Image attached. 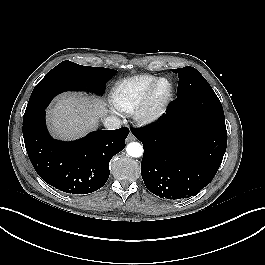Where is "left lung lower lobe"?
Returning <instances> with one entry per match:
<instances>
[{"label": "left lung lower lobe", "instance_id": "left-lung-lower-lobe-1", "mask_svg": "<svg viewBox=\"0 0 265 265\" xmlns=\"http://www.w3.org/2000/svg\"><path fill=\"white\" fill-rule=\"evenodd\" d=\"M131 131L143 143L146 187L167 199L198 194L214 178L227 146L225 119L176 112L173 103L159 123Z\"/></svg>", "mask_w": 265, "mask_h": 265}]
</instances>
